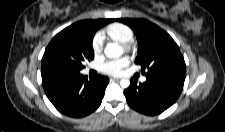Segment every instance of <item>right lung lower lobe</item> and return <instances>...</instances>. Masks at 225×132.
<instances>
[{
    "instance_id": "right-lung-lower-lobe-1",
    "label": "right lung lower lobe",
    "mask_w": 225,
    "mask_h": 132,
    "mask_svg": "<svg viewBox=\"0 0 225 132\" xmlns=\"http://www.w3.org/2000/svg\"><path fill=\"white\" fill-rule=\"evenodd\" d=\"M109 79L98 76L87 80L81 74L50 77L42 80L48 99L61 113L70 117H83L101 104Z\"/></svg>"
}]
</instances>
